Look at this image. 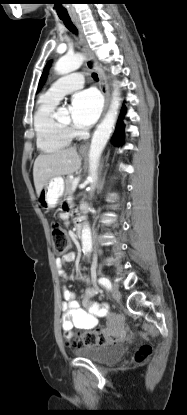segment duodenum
I'll return each instance as SVG.
<instances>
[{"label":"duodenum","mask_w":187,"mask_h":415,"mask_svg":"<svg viewBox=\"0 0 187 415\" xmlns=\"http://www.w3.org/2000/svg\"><path fill=\"white\" fill-rule=\"evenodd\" d=\"M82 225H83V220L81 218H77L75 220V226H74V236L76 238H79L81 236Z\"/></svg>","instance_id":"1"}]
</instances>
